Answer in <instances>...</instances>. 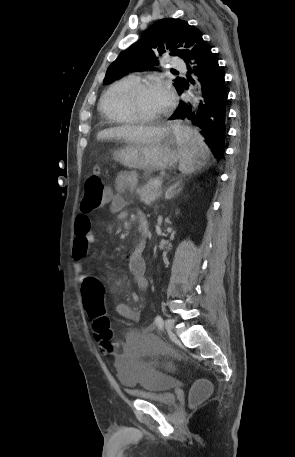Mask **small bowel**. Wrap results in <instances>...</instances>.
<instances>
[{
  "mask_svg": "<svg viewBox=\"0 0 295 457\" xmlns=\"http://www.w3.org/2000/svg\"><path fill=\"white\" fill-rule=\"evenodd\" d=\"M137 180L132 173L123 172L118 175L115 180L116 193L110 194L109 209L112 213H120L125 207L124 193L131 192L135 189ZM143 218L147 221L143 214L139 215V219ZM94 242V235L91 228V221L85 214H78L75 218V239L73 245V270L79 283L83 285L87 280L93 278L89 277L83 272V259L89 251V247ZM145 247V242L141 241L136 250L126 256L128 268L133 275L136 284L140 290H147L148 281L145 277V261L142 257V252ZM133 301L138 300V294H132ZM117 314L123 318L139 321V313L126 303H118L115 306ZM153 325L139 331H132L127 336L125 343L122 345H139L140 342H157L153 336ZM116 348V347H115Z\"/></svg>",
  "mask_w": 295,
  "mask_h": 457,
  "instance_id": "obj_1",
  "label": "small bowel"
}]
</instances>
